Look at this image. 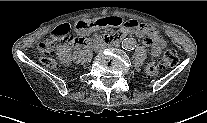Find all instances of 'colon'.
Instances as JSON below:
<instances>
[{
    "label": "colon",
    "instance_id": "1",
    "mask_svg": "<svg viewBox=\"0 0 207 123\" xmlns=\"http://www.w3.org/2000/svg\"><path fill=\"white\" fill-rule=\"evenodd\" d=\"M60 41L63 43H74L79 42L80 44L85 43L84 38L75 39L71 35V27L67 23L58 25L52 34V39L42 42L38 45L36 55L40 62L43 64L55 68L57 62L52 56L54 42ZM179 61V54L176 49H168L161 60L151 61L146 65L145 73L147 76H156L161 69L175 66Z\"/></svg>",
    "mask_w": 207,
    "mask_h": 123
}]
</instances>
